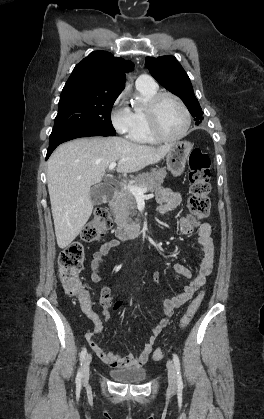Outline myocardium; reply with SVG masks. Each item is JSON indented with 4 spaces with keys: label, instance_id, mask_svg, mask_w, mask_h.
I'll return each instance as SVG.
<instances>
[{
    "label": "myocardium",
    "instance_id": "1",
    "mask_svg": "<svg viewBox=\"0 0 264 419\" xmlns=\"http://www.w3.org/2000/svg\"><path fill=\"white\" fill-rule=\"evenodd\" d=\"M166 97H169V98L173 99L179 105V107L182 109V111L184 113V116H185V125H184V128H183L182 132L180 134H178L177 136H173V137L165 135L162 132V130L160 128V124H159V116H158L159 105H160L161 101ZM146 112H147L150 132H151L152 136L157 141H161V142H176V141H179L187 135V133L190 129V126H191L190 111L187 108L186 104L182 101V99L180 97H178L177 95H175L174 93H171V92H168V91H159V92L155 93L149 99V101L147 103Z\"/></svg>",
    "mask_w": 264,
    "mask_h": 419
}]
</instances>
